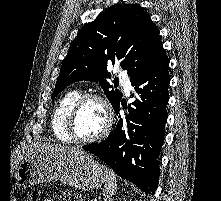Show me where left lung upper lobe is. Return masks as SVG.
Masks as SVG:
<instances>
[{"label": "left lung upper lobe", "instance_id": "obj_1", "mask_svg": "<svg viewBox=\"0 0 221 201\" xmlns=\"http://www.w3.org/2000/svg\"><path fill=\"white\" fill-rule=\"evenodd\" d=\"M163 54L158 28L141 6L126 4L107 9L81 28L70 44L52 98L76 81H98L114 108L122 94L110 90L107 66L119 63L133 80Z\"/></svg>", "mask_w": 221, "mask_h": 201}]
</instances>
